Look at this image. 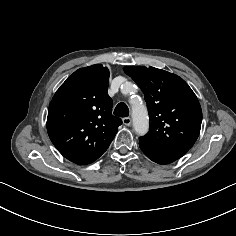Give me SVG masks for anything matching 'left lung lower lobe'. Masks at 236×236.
Segmentation results:
<instances>
[{"instance_id": "left-lung-lower-lobe-1", "label": "left lung lower lobe", "mask_w": 236, "mask_h": 236, "mask_svg": "<svg viewBox=\"0 0 236 236\" xmlns=\"http://www.w3.org/2000/svg\"><path fill=\"white\" fill-rule=\"evenodd\" d=\"M143 153L152 161L159 164H169L181 158L189 149L155 148L139 143Z\"/></svg>"}]
</instances>
